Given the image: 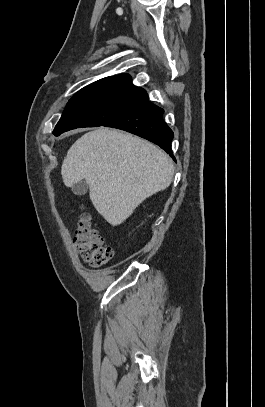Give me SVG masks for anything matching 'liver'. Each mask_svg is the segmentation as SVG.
Returning a JSON list of instances; mask_svg holds the SVG:
<instances>
[{"label": "liver", "mask_w": 265, "mask_h": 407, "mask_svg": "<svg viewBox=\"0 0 265 407\" xmlns=\"http://www.w3.org/2000/svg\"><path fill=\"white\" fill-rule=\"evenodd\" d=\"M61 175L67 187L84 179L97 212L117 226L144 200L170 185L174 167L169 156L149 141L99 127L70 147Z\"/></svg>", "instance_id": "liver-1"}]
</instances>
